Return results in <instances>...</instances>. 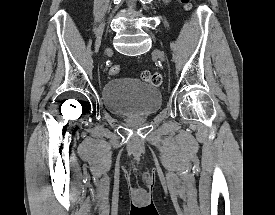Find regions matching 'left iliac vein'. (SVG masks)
<instances>
[{"label": "left iliac vein", "mask_w": 275, "mask_h": 215, "mask_svg": "<svg viewBox=\"0 0 275 215\" xmlns=\"http://www.w3.org/2000/svg\"><path fill=\"white\" fill-rule=\"evenodd\" d=\"M156 53L159 55V57L164 60V54L161 51H156Z\"/></svg>", "instance_id": "1"}]
</instances>
